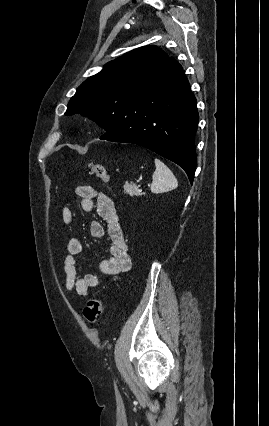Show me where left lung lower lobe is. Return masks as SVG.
Returning a JSON list of instances; mask_svg holds the SVG:
<instances>
[{
  "instance_id": "0a47b994",
  "label": "left lung lower lobe",
  "mask_w": 269,
  "mask_h": 426,
  "mask_svg": "<svg viewBox=\"0 0 269 426\" xmlns=\"http://www.w3.org/2000/svg\"><path fill=\"white\" fill-rule=\"evenodd\" d=\"M123 116L114 133L101 139L146 147L181 166L193 182L199 115L177 61L168 58L151 84L133 95Z\"/></svg>"
}]
</instances>
